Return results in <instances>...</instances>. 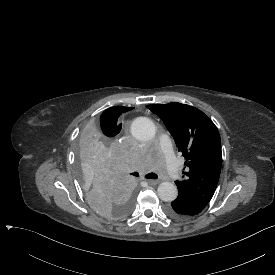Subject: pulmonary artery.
Here are the masks:
<instances>
[{
	"label": "pulmonary artery",
	"instance_id": "pulmonary-artery-1",
	"mask_svg": "<svg viewBox=\"0 0 275 275\" xmlns=\"http://www.w3.org/2000/svg\"><path fill=\"white\" fill-rule=\"evenodd\" d=\"M158 138L163 141L159 145V151L163 154L165 164L167 165V175L171 180H176L179 177V166L174 155L169 138V133L166 130H161L158 133Z\"/></svg>",
	"mask_w": 275,
	"mask_h": 275
}]
</instances>
